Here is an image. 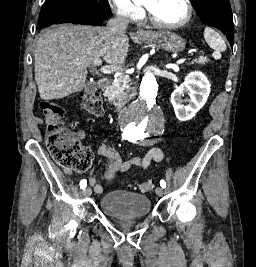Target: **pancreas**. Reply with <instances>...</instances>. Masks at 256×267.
Listing matches in <instances>:
<instances>
[{"label":"pancreas","mask_w":256,"mask_h":267,"mask_svg":"<svg viewBox=\"0 0 256 267\" xmlns=\"http://www.w3.org/2000/svg\"><path fill=\"white\" fill-rule=\"evenodd\" d=\"M208 62L205 56H200L197 60H193L191 64H206ZM129 78L126 76H122V78H118L117 82H113L110 80V86L108 88L109 98L105 100V102H114L116 106H125L127 102H129L131 96H136L137 92H135V88H130Z\"/></svg>","instance_id":"cf45deb5"}]
</instances>
